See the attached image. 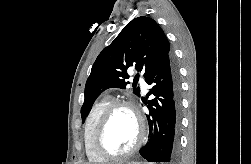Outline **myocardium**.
Returning a JSON list of instances; mask_svg holds the SVG:
<instances>
[{"instance_id":"obj_1","label":"myocardium","mask_w":251,"mask_h":164,"mask_svg":"<svg viewBox=\"0 0 251 164\" xmlns=\"http://www.w3.org/2000/svg\"><path fill=\"white\" fill-rule=\"evenodd\" d=\"M119 108H127L129 109L132 114L134 115L137 125H138V137L135 142V144L126 152L115 154L111 153L108 150L105 149L103 146V136L106 130V127L108 125V122L113 115V113L119 109ZM145 133H146V128H145V123L144 120L138 111V109L135 107V105L127 100H116L111 102L102 115L100 116L97 125L94 130L93 134V149L95 153L103 158L104 160H120L127 158L131 155H133L135 152H137L140 147L142 146L144 139H145Z\"/></svg>"}]
</instances>
